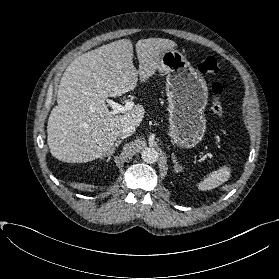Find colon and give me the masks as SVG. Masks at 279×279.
I'll use <instances>...</instances> for the list:
<instances>
[{
  "label": "colon",
  "instance_id": "5ec220e1",
  "mask_svg": "<svg viewBox=\"0 0 279 279\" xmlns=\"http://www.w3.org/2000/svg\"><path fill=\"white\" fill-rule=\"evenodd\" d=\"M199 71L214 79L211 85L212 101L211 111L217 117H222L224 113L223 104L220 100V95L223 92V83L221 82V67L218 60L213 56H208L203 59L199 65Z\"/></svg>",
  "mask_w": 279,
  "mask_h": 279
}]
</instances>
